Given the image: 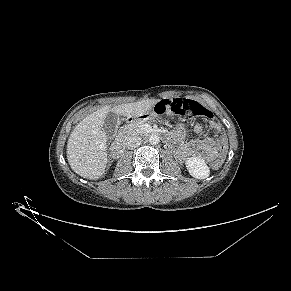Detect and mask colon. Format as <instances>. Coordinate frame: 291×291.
I'll return each instance as SVG.
<instances>
[{
	"label": "colon",
	"instance_id": "5ec220e1",
	"mask_svg": "<svg viewBox=\"0 0 291 291\" xmlns=\"http://www.w3.org/2000/svg\"><path fill=\"white\" fill-rule=\"evenodd\" d=\"M155 113L158 114H170L184 117H200L210 123L214 122L213 113L205 106L197 101L189 99H165L158 102L154 107ZM221 151L226 150L224 143L220 146ZM222 166V160H215L211 163L213 169H218Z\"/></svg>",
	"mask_w": 291,
	"mask_h": 291
}]
</instances>
